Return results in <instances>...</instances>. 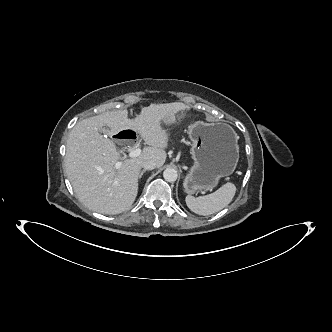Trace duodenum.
Segmentation results:
<instances>
[{
    "label": "duodenum",
    "mask_w": 332,
    "mask_h": 332,
    "mask_svg": "<svg viewBox=\"0 0 332 332\" xmlns=\"http://www.w3.org/2000/svg\"><path fill=\"white\" fill-rule=\"evenodd\" d=\"M123 135H124V136H123L124 139L129 140V139H131V138L134 137V131H132V130H127V131L123 132Z\"/></svg>",
    "instance_id": "duodenum-1"
}]
</instances>
